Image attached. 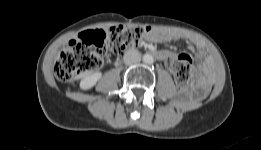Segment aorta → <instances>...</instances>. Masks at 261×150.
Wrapping results in <instances>:
<instances>
[{
    "mask_svg": "<svg viewBox=\"0 0 261 150\" xmlns=\"http://www.w3.org/2000/svg\"><path fill=\"white\" fill-rule=\"evenodd\" d=\"M143 62L146 64H152L154 62V58L151 54H145L143 56Z\"/></svg>",
    "mask_w": 261,
    "mask_h": 150,
    "instance_id": "1",
    "label": "aorta"
}]
</instances>
